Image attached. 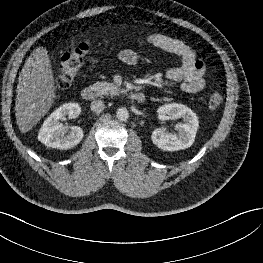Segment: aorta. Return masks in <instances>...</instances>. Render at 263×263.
Instances as JSON below:
<instances>
[{"mask_svg":"<svg viewBox=\"0 0 263 263\" xmlns=\"http://www.w3.org/2000/svg\"><path fill=\"white\" fill-rule=\"evenodd\" d=\"M116 117L119 121H126L129 118V112L125 107L118 108Z\"/></svg>","mask_w":263,"mask_h":263,"instance_id":"aorta-1","label":"aorta"}]
</instances>
